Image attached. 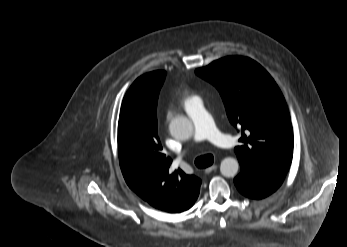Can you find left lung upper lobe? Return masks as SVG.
I'll return each instance as SVG.
<instances>
[{"label":"left lung upper lobe","mask_w":347,"mask_h":247,"mask_svg":"<svg viewBox=\"0 0 347 247\" xmlns=\"http://www.w3.org/2000/svg\"><path fill=\"white\" fill-rule=\"evenodd\" d=\"M220 92L229 121L240 128V165L254 171L289 170L293 129L285 99L269 73L247 57L232 56L197 69Z\"/></svg>","instance_id":"1"}]
</instances>
